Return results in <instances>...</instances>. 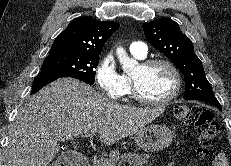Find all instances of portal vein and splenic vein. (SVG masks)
<instances>
[{"label": "portal vein and splenic vein", "mask_w": 231, "mask_h": 166, "mask_svg": "<svg viewBox=\"0 0 231 166\" xmlns=\"http://www.w3.org/2000/svg\"><path fill=\"white\" fill-rule=\"evenodd\" d=\"M96 132L92 131V132H88L85 134V137H93L95 135Z\"/></svg>", "instance_id": "1"}]
</instances>
